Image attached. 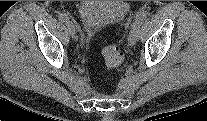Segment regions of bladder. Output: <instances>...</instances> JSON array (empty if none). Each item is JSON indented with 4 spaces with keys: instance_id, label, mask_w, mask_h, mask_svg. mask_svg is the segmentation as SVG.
Segmentation results:
<instances>
[{
    "instance_id": "bladder-1",
    "label": "bladder",
    "mask_w": 207,
    "mask_h": 121,
    "mask_svg": "<svg viewBox=\"0 0 207 121\" xmlns=\"http://www.w3.org/2000/svg\"><path fill=\"white\" fill-rule=\"evenodd\" d=\"M128 10L125 1H82L78 6L80 18L90 30L121 22Z\"/></svg>"
}]
</instances>
